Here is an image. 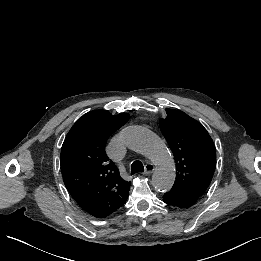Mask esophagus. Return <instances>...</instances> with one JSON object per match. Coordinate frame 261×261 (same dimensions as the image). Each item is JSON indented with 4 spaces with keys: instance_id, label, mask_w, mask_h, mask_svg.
<instances>
[{
    "instance_id": "1",
    "label": "esophagus",
    "mask_w": 261,
    "mask_h": 261,
    "mask_svg": "<svg viewBox=\"0 0 261 261\" xmlns=\"http://www.w3.org/2000/svg\"><path fill=\"white\" fill-rule=\"evenodd\" d=\"M155 167L152 163H147L145 165V171H144V175H149L154 171Z\"/></svg>"
}]
</instances>
